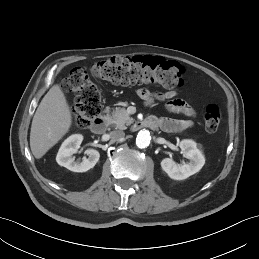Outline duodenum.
I'll return each instance as SVG.
<instances>
[{
  "instance_id": "410a0bca",
  "label": "duodenum",
  "mask_w": 259,
  "mask_h": 259,
  "mask_svg": "<svg viewBox=\"0 0 259 259\" xmlns=\"http://www.w3.org/2000/svg\"><path fill=\"white\" fill-rule=\"evenodd\" d=\"M107 119L103 115L97 116L91 123V130L96 134H102L106 131ZM137 129H156L159 123L156 119L146 118L135 123Z\"/></svg>"
}]
</instances>
